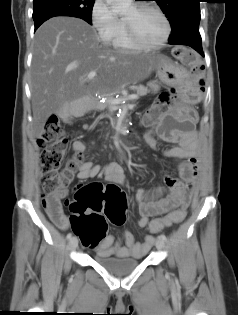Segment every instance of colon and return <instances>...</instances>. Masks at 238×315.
I'll return each mask as SVG.
<instances>
[{
    "mask_svg": "<svg viewBox=\"0 0 238 315\" xmlns=\"http://www.w3.org/2000/svg\"><path fill=\"white\" fill-rule=\"evenodd\" d=\"M172 54L192 70L198 86L205 88V66L199 55L186 47H175ZM175 97L174 91L163 92L144 116V123L148 126L155 124L167 112ZM38 145L41 147V187L46 206L49 195L64 189L70 183L82 164L83 156L82 152L75 153L61 169L68 140L56 116H50L45 122ZM68 206L72 230L86 247H94L104 239L107 222L117 226L124 224L128 209L127 197L122 189L113 183L100 182L77 186L74 198ZM183 218L184 211L175 210L163 218L152 220L148 229L157 233L165 227L179 223Z\"/></svg>",
    "mask_w": 238,
    "mask_h": 315,
    "instance_id": "obj_1",
    "label": "colon"
}]
</instances>
